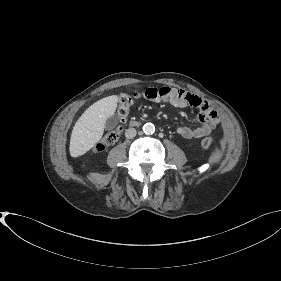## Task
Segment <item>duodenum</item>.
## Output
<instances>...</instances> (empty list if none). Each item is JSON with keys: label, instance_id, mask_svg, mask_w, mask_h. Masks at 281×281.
<instances>
[{"label": "duodenum", "instance_id": "duodenum-1", "mask_svg": "<svg viewBox=\"0 0 281 281\" xmlns=\"http://www.w3.org/2000/svg\"><path fill=\"white\" fill-rule=\"evenodd\" d=\"M139 122L138 121H136V120H133V121H130V123H129V125L131 126V127H137V126H139Z\"/></svg>", "mask_w": 281, "mask_h": 281}]
</instances>
